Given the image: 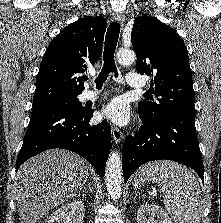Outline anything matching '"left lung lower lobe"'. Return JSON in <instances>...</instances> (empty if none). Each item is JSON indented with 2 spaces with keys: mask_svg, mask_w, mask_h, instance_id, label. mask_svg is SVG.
<instances>
[{
  "mask_svg": "<svg viewBox=\"0 0 221 223\" xmlns=\"http://www.w3.org/2000/svg\"><path fill=\"white\" fill-rule=\"evenodd\" d=\"M143 125L134 136L125 138L122 148L124 182L142 164L153 160H173L194 169L203 179L195 116L173 113L151 119L139 111Z\"/></svg>",
  "mask_w": 221,
  "mask_h": 223,
  "instance_id": "1",
  "label": "left lung lower lobe"
}]
</instances>
